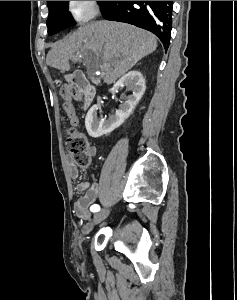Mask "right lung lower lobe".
<instances>
[{
  "mask_svg": "<svg viewBox=\"0 0 237 300\" xmlns=\"http://www.w3.org/2000/svg\"><path fill=\"white\" fill-rule=\"evenodd\" d=\"M173 1H104L101 13L107 20L133 24L153 32L167 50L170 44Z\"/></svg>",
  "mask_w": 237,
  "mask_h": 300,
  "instance_id": "1",
  "label": "right lung lower lobe"
}]
</instances>
